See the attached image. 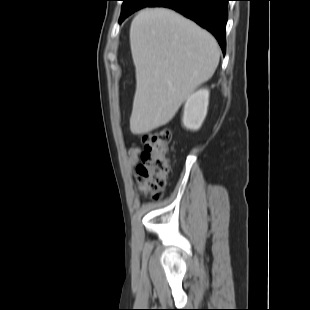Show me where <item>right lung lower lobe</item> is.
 Here are the masks:
<instances>
[{"mask_svg":"<svg viewBox=\"0 0 310 310\" xmlns=\"http://www.w3.org/2000/svg\"><path fill=\"white\" fill-rule=\"evenodd\" d=\"M228 1L229 0H156L149 6L171 8L185 17L192 19L215 36L225 54Z\"/></svg>","mask_w":310,"mask_h":310,"instance_id":"right-lung-lower-lobe-1","label":"right lung lower lobe"}]
</instances>
